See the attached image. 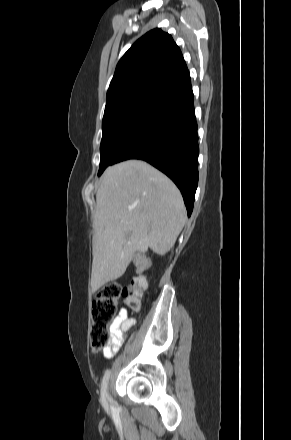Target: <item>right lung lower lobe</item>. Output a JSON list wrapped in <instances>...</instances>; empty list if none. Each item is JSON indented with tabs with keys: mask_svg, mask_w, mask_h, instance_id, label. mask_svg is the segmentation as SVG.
Wrapping results in <instances>:
<instances>
[{
	"mask_svg": "<svg viewBox=\"0 0 291 440\" xmlns=\"http://www.w3.org/2000/svg\"><path fill=\"white\" fill-rule=\"evenodd\" d=\"M190 76L157 97L110 165L144 160L171 178L191 215L198 185V135Z\"/></svg>",
	"mask_w": 291,
	"mask_h": 440,
	"instance_id": "obj_1",
	"label": "right lung lower lobe"
}]
</instances>
